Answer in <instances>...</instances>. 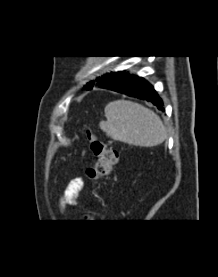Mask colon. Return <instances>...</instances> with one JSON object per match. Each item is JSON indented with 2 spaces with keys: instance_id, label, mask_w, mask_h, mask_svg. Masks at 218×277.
<instances>
[{
  "instance_id": "5ec220e1",
  "label": "colon",
  "mask_w": 218,
  "mask_h": 277,
  "mask_svg": "<svg viewBox=\"0 0 218 277\" xmlns=\"http://www.w3.org/2000/svg\"><path fill=\"white\" fill-rule=\"evenodd\" d=\"M87 137L95 157V165L87 170V175L94 181L106 179L118 161V152L91 130L87 131ZM89 217L88 214L84 216L85 219Z\"/></svg>"
}]
</instances>
